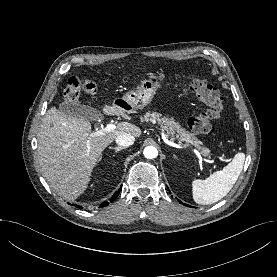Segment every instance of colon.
Wrapping results in <instances>:
<instances>
[{
  "instance_id": "colon-1",
  "label": "colon",
  "mask_w": 277,
  "mask_h": 277,
  "mask_svg": "<svg viewBox=\"0 0 277 277\" xmlns=\"http://www.w3.org/2000/svg\"><path fill=\"white\" fill-rule=\"evenodd\" d=\"M156 76L162 77V74L158 73ZM180 80L184 81L183 79ZM186 82L196 97L206 106L204 112L189 119L188 126L194 133L210 135L213 132V124L223 118L224 99L221 93L205 79L189 77L186 79ZM81 91L94 95L98 92V86L91 80H81L72 77L68 80L64 90L65 101L77 103Z\"/></svg>"
}]
</instances>
